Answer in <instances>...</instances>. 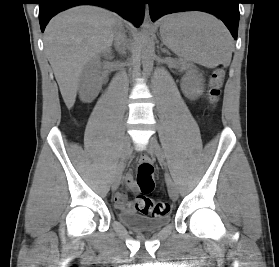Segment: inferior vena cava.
<instances>
[{
  "label": "inferior vena cava",
  "instance_id": "1",
  "mask_svg": "<svg viewBox=\"0 0 279 267\" xmlns=\"http://www.w3.org/2000/svg\"><path fill=\"white\" fill-rule=\"evenodd\" d=\"M115 46L116 49L121 52L122 54L125 53L126 50V35L124 32V27L121 25L120 27L117 28L115 32Z\"/></svg>",
  "mask_w": 279,
  "mask_h": 267
}]
</instances>
